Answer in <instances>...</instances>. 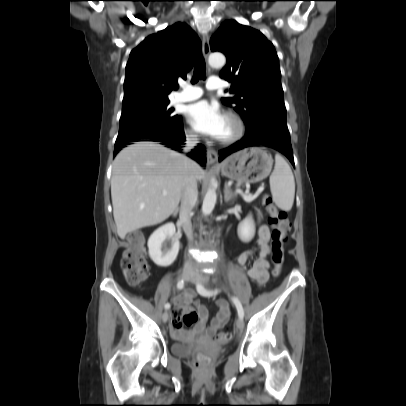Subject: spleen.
Segmentation results:
<instances>
[{
  "mask_svg": "<svg viewBox=\"0 0 406 406\" xmlns=\"http://www.w3.org/2000/svg\"><path fill=\"white\" fill-rule=\"evenodd\" d=\"M269 181L274 203L282 210H291L295 197L294 176L288 163L279 154L275 156V167Z\"/></svg>",
  "mask_w": 406,
  "mask_h": 406,
  "instance_id": "1",
  "label": "spleen"
}]
</instances>
